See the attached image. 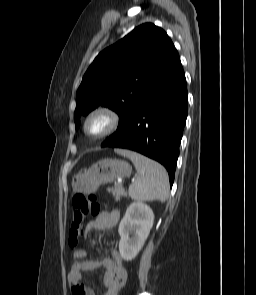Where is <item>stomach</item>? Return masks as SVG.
<instances>
[{
	"mask_svg": "<svg viewBox=\"0 0 256 295\" xmlns=\"http://www.w3.org/2000/svg\"><path fill=\"white\" fill-rule=\"evenodd\" d=\"M132 167L126 161L104 158L74 175L72 188L74 192L94 193L100 185L111 183L117 178L127 177Z\"/></svg>",
	"mask_w": 256,
	"mask_h": 295,
	"instance_id": "0dacf381",
	"label": "stomach"
}]
</instances>
